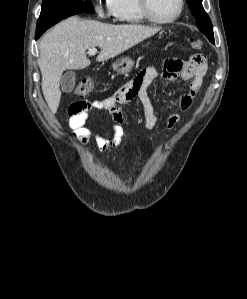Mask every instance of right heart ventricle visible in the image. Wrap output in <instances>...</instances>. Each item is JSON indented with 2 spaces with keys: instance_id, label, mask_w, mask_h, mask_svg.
<instances>
[{
  "instance_id": "obj_1",
  "label": "right heart ventricle",
  "mask_w": 247,
  "mask_h": 299,
  "mask_svg": "<svg viewBox=\"0 0 247 299\" xmlns=\"http://www.w3.org/2000/svg\"><path fill=\"white\" fill-rule=\"evenodd\" d=\"M111 14L122 23L139 24L146 21L142 15L138 0H111Z\"/></svg>"
}]
</instances>
